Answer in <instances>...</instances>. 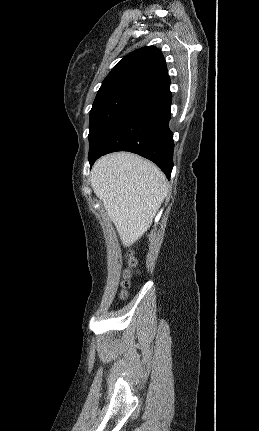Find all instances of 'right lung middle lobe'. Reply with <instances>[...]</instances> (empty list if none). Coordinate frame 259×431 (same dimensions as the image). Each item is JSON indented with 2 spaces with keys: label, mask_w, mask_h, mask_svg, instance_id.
<instances>
[{
  "label": "right lung middle lobe",
  "mask_w": 259,
  "mask_h": 431,
  "mask_svg": "<svg viewBox=\"0 0 259 431\" xmlns=\"http://www.w3.org/2000/svg\"><path fill=\"white\" fill-rule=\"evenodd\" d=\"M151 91L137 81H130L98 92L90 111L89 151L123 113Z\"/></svg>",
  "instance_id": "obj_1"
}]
</instances>
